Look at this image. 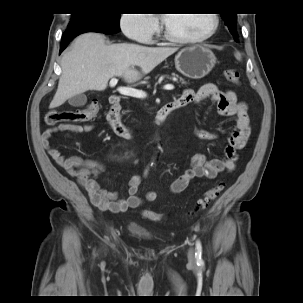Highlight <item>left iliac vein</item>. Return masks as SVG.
Returning <instances> with one entry per match:
<instances>
[{
	"label": "left iliac vein",
	"instance_id": "obj_1",
	"mask_svg": "<svg viewBox=\"0 0 303 303\" xmlns=\"http://www.w3.org/2000/svg\"><path fill=\"white\" fill-rule=\"evenodd\" d=\"M189 260L190 262H195L194 250L190 249L189 251Z\"/></svg>",
	"mask_w": 303,
	"mask_h": 303
}]
</instances>
